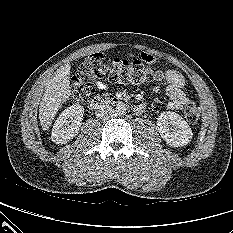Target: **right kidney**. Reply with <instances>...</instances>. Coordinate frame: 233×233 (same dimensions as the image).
<instances>
[{
	"instance_id": "obj_1",
	"label": "right kidney",
	"mask_w": 233,
	"mask_h": 233,
	"mask_svg": "<svg viewBox=\"0 0 233 233\" xmlns=\"http://www.w3.org/2000/svg\"><path fill=\"white\" fill-rule=\"evenodd\" d=\"M84 108L81 105H72L66 108L54 123L51 138L56 144H65L73 139L81 126Z\"/></svg>"
}]
</instances>
